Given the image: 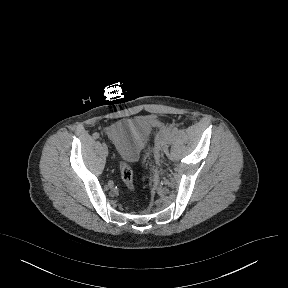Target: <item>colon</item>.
I'll return each instance as SVG.
<instances>
[{
	"label": "colon",
	"instance_id": "5ec220e1",
	"mask_svg": "<svg viewBox=\"0 0 288 288\" xmlns=\"http://www.w3.org/2000/svg\"><path fill=\"white\" fill-rule=\"evenodd\" d=\"M121 179L130 190L134 189V174L127 164H122L120 168Z\"/></svg>",
	"mask_w": 288,
	"mask_h": 288
}]
</instances>
